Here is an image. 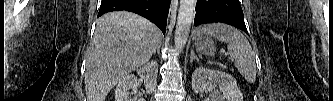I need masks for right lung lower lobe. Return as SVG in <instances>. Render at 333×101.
<instances>
[{
  "label": "right lung lower lobe",
  "instance_id": "obj_1",
  "mask_svg": "<svg viewBox=\"0 0 333 101\" xmlns=\"http://www.w3.org/2000/svg\"><path fill=\"white\" fill-rule=\"evenodd\" d=\"M170 0H102L98 17L110 11L137 13L156 24L165 35Z\"/></svg>",
  "mask_w": 333,
  "mask_h": 101
}]
</instances>
